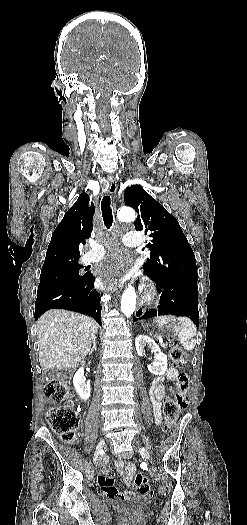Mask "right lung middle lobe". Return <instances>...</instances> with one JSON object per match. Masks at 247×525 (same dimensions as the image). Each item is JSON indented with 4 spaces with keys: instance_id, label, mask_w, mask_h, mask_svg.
<instances>
[{
    "instance_id": "obj_1",
    "label": "right lung middle lobe",
    "mask_w": 247,
    "mask_h": 525,
    "mask_svg": "<svg viewBox=\"0 0 247 525\" xmlns=\"http://www.w3.org/2000/svg\"><path fill=\"white\" fill-rule=\"evenodd\" d=\"M81 267L82 266L78 263V261H74L41 270L38 291L55 284L80 281L89 275L86 274L81 276L79 274Z\"/></svg>"
}]
</instances>
